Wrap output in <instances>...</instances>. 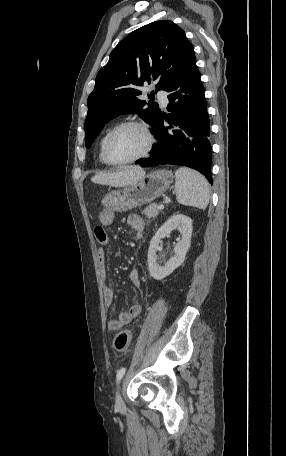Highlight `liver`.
<instances>
[{
    "label": "liver",
    "instance_id": "obj_1",
    "mask_svg": "<svg viewBox=\"0 0 286 456\" xmlns=\"http://www.w3.org/2000/svg\"><path fill=\"white\" fill-rule=\"evenodd\" d=\"M145 177V171L136 166H128L116 172H99L91 178L95 184L112 187L131 186Z\"/></svg>",
    "mask_w": 286,
    "mask_h": 456
}]
</instances>
